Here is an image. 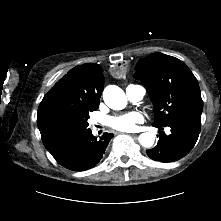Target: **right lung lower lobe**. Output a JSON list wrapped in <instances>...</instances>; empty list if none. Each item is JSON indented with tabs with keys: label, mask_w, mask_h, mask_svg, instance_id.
Masks as SVG:
<instances>
[{
	"label": "right lung lower lobe",
	"mask_w": 221,
	"mask_h": 221,
	"mask_svg": "<svg viewBox=\"0 0 221 221\" xmlns=\"http://www.w3.org/2000/svg\"><path fill=\"white\" fill-rule=\"evenodd\" d=\"M112 137L113 134L104 133L100 139H97L88 130L67 146L49 152L65 168L84 171L94 167L102 159Z\"/></svg>",
	"instance_id": "98d812e1"
}]
</instances>
